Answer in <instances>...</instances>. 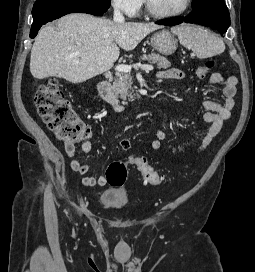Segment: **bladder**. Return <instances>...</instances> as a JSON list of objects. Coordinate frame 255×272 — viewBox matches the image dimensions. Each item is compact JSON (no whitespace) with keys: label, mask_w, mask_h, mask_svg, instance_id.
Returning a JSON list of instances; mask_svg holds the SVG:
<instances>
[{"label":"bladder","mask_w":255,"mask_h":272,"mask_svg":"<svg viewBox=\"0 0 255 272\" xmlns=\"http://www.w3.org/2000/svg\"><path fill=\"white\" fill-rule=\"evenodd\" d=\"M129 201V192L125 188H108L99 195V202L109 208H122Z\"/></svg>","instance_id":"31cf9c89"}]
</instances>
